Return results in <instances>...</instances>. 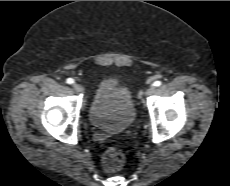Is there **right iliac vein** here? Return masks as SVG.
<instances>
[{
  "mask_svg": "<svg viewBox=\"0 0 230 186\" xmlns=\"http://www.w3.org/2000/svg\"><path fill=\"white\" fill-rule=\"evenodd\" d=\"M74 90L79 92V93H83L84 92V88L80 85V84H75L73 86Z\"/></svg>",
  "mask_w": 230,
  "mask_h": 186,
  "instance_id": "obj_1",
  "label": "right iliac vein"
}]
</instances>
